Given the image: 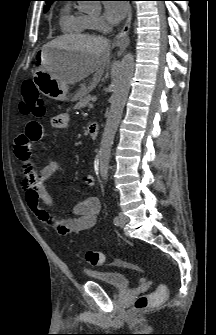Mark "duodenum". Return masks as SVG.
Segmentation results:
<instances>
[{
  "mask_svg": "<svg viewBox=\"0 0 216 335\" xmlns=\"http://www.w3.org/2000/svg\"><path fill=\"white\" fill-rule=\"evenodd\" d=\"M89 135L92 139H96L98 136V125L96 123H92L88 127Z\"/></svg>",
  "mask_w": 216,
  "mask_h": 335,
  "instance_id": "duodenum-1",
  "label": "duodenum"
}]
</instances>
